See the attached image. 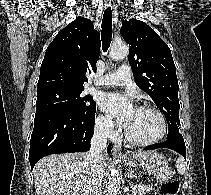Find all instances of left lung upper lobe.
I'll return each instance as SVG.
<instances>
[{
	"instance_id": "left-lung-upper-lobe-1",
	"label": "left lung upper lobe",
	"mask_w": 211,
	"mask_h": 195,
	"mask_svg": "<svg viewBox=\"0 0 211 195\" xmlns=\"http://www.w3.org/2000/svg\"><path fill=\"white\" fill-rule=\"evenodd\" d=\"M121 35L129 44V64L136 84L164 113L168 137L180 133L179 85L168 45L143 21H124Z\"/></svg>"
}]
</instances>
